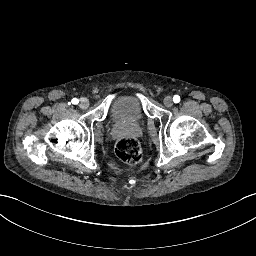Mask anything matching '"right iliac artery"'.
Segmentation results:
<instances>
[{"instance_id":"82829eb1","label":"right iliac artery","mask_w":256,"mask_h":256,"mask_svg":"<svg viewBox=\"0 0 256 256\" xmlns=\"http://www.w3.org/2000/svg\"><path fill=\"white\" fill-rule=\"evenodd\" d=\"M71 102H72V104L76 105V104H78L79 100L76 98H73Z\"/></svg>"}]
</instances>
